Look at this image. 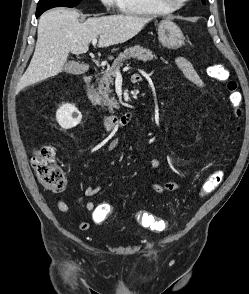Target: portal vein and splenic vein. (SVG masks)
Masks as SVG:
<instances>
[{
    "mask_svg": "<svg viewBox=\"0 0 249 294\" xmlns=\"http://www.w3.org/2000/svg\"><path fill=\"white\" fill-rule=\"evenodd\" d=\"M96 43H97V38H94V39L92 40V44L95 46ZM117 74H120V71H118Z\"/></svg>",
    "mask_w": 249,
    "mask_h": 294,
    "instance_id": "obj_1",
    "label": "portal vein and splenic vein"
}]
</instances>
